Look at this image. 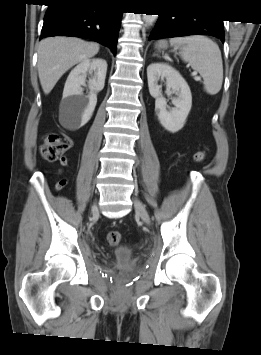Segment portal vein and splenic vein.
Returning a JSON list of instances; mask_svg holds the SVG:
<instances>
[{"label": "portal vein and splenic vein", "mask_w": 261, "mask_h": 355, "mask_svg": "<svg viewBox=\"0 0 261 355\" xmlns=\"http://www.w3.org/2000/svg\"><path fill=\"white\" fill-rule=\"evenodd\" d=\"M191 75L194 76L196 80H198V81L201 80V78L199 76H197V72L196 71L192 72Z\"/></svg>", "instance_id": "portal-vein-and-splenic-vein-1"}]
</instances>
